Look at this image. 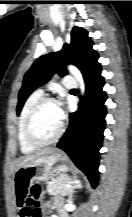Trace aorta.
<instances>
[{"mask_svg": "<svg viewBox=\"0 0 132 217\" xmlns=\"http://www.w3.org/2000/svg\"><path fill=\"white\" fill-rule=\"evenodd\" d=\"M68 70L76 78V80L78 81L81 94L84 95V93H85V82H84V79H83V76H82L80 70L78 68H76L75 66H73V65H69Z\"/></svg>", "mask_w": 132, "mask_h": 217, "instance_id": "762f6f07", "label": "aorta"}]
</instances>
